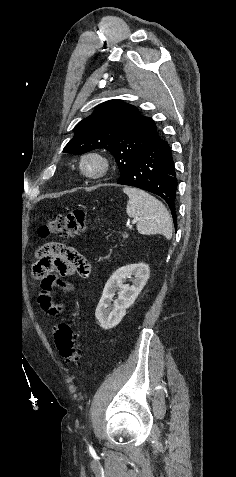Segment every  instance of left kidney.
<instances>
[{"mask_svg":"<svg viewBox=\"0 0 236 477\" xmlns=\"http://www.w3.org/2000/svg\"><path fill=\"white\" fill-rule=\"evenodd\" d=\"M150 274L148 264L138 263L117 269L105 284L102 297L97 305L95 316L101 328L107 330L118 325L126 314V310L134 303ZM135 277L133 284L124 282ZM118 299L113 301L115 292ZM113 301V304H111Z\"/></svg>","mask_w":236,"mask_h":477,"instance_id":"left-kidney-1","label":"left kidney"}]
</instances>
